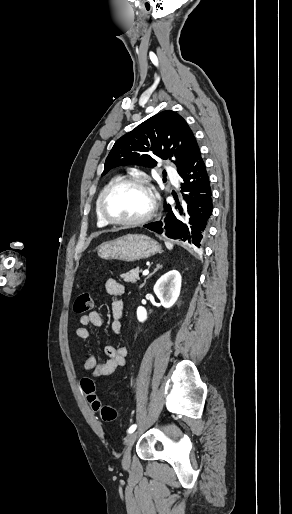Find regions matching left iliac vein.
<instances>
[{
    "label": "left iliac vein",
    "instance_id": "4c4485c4",
    "mask_svg": "<svg viewBox=\"0 0 292 514\" xmlns=\"http://www.w3.org/2000/svg\"><path fill=\"white\" fill-rule=\"evenodd\" d=\"M138 431H134L130 433L126 439H125V449H124V455L122 464L124 468H128L130 466L131 462V448L134 444L135 440L137 439Z\"/></svg>",
    "mask_w": 292,
    "mask_h": 514
}]
</instances>
